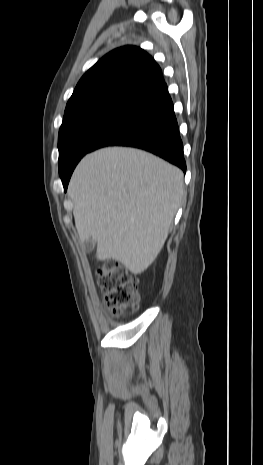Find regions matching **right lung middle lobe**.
Segmentation results:
<instances>
[{
  "label": "right lung middle lobe",
  "mask_w": 263,
  "mask_h": 465,
  "mask_svg": "<svg viewBox=\"0 0 263 465\" xmlns=\"http://www.w3.org/2000/svg\"><path fill=\"white\" fill-rule=\"evenodd\" d=\"M136 101L127 97H106L65 111L58 137L61 179L73 172L80 159Z\"/></svg>",
  "instance_id": "dd1d6c3e"
}]
</instances>
